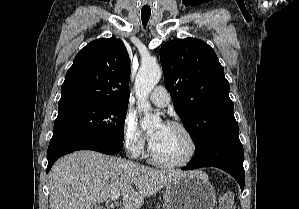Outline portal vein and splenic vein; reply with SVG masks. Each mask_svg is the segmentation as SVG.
I'll return each mask as SVG.
<instances>
[{"label":"portal vein and splenic vein","mask_w":299,"mask_h":209,"mask_svg":"<svg viewBox=\"0 0 299 209\" xmlns=\"http://www.w3.org/2000/svg\"><path fill=\"white\" fill-rule=\"evenodd\" d=\"M120 196V192H116L111 196V200L116 201Z\"/></svg>","instance_id":"obj_1"}]
</instances>
